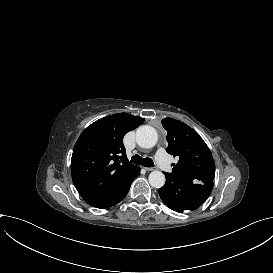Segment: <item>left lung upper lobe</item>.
<instances>
[{"label": "left lung upper lobe", "instance_id": "1", "mask_svg": "<svg viewBox=\"0 0 273 273\" xmlns=\"http://www.w3.org/2000/svg\"><path fill=\"white\" fill-rule=\"evenodd\" d=\"M167 130L168 147L166 151L179 157L173 164L172 173L190 182L213 183L215 163L204 140L188 125L172 118L162 120Z\"/></svg>", "mask_w": 273, "mask_h": 273}]
</instances>
